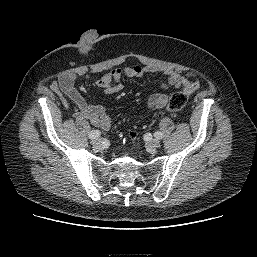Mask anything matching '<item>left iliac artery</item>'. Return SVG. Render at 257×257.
<instances>
[{"label": "left iliac artery", "mask_w": 257, "mask_h": 257, "mask_svg": "<svg viewBox=\"0 0 257 257\" xmlns=\"http://www.w3.org/2000/svg\"><path fill=\"white\" fill-rule=\"evenodd\" d=\"M154 136H155L157 139H162V133H161L160 131L155 132Z\"/></svg>", "instance_id": "1"}]
</instances>
